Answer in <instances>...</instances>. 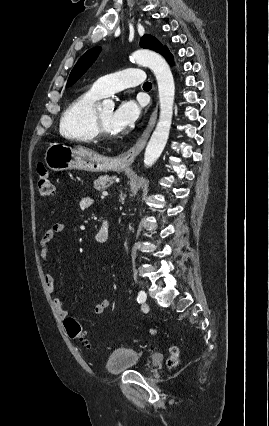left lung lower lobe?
<instances>
[{
	"label": "left lung lower lobe",
	"mask_w": 269,
	"mask_h": 426,
	"mask_svg": "<svg viewBox=\"0 0 269 426\" xmlns=\"http://www.w3.org/2000/svg\"><path fill=\"white\" fill-rule=\"evenodd\" d=\"M160 54H161L163 57H165V58H166V60H167L169 63L173 64V56H172V54L169 52V50L167 49V47H164V48L162 49V51L160 52Z\"/></svg>",
	"instance_id": "obj_1"
}]
</instances>
